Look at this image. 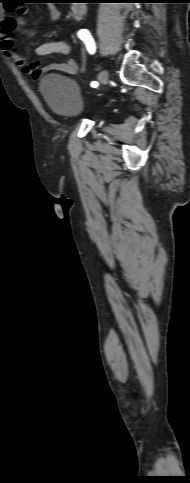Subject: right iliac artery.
Listing matches in <instances>:
<instances>
[{
	"label": "right iliac artery",
	"mask_w": 190,
	"mask_h": 483,
	"mask_svg": "<svg viewBox=\"0 0 190 483\" xmlns=\"http://www.w3.org/2000/svg\"><path fill=\"white\" fill-rule=\"evenodd\" d=\"M78 37L85 43L88 52L90 54H94L96 47H95L94 40L91 34L89 33V31L86 29L79 30ZM97 86H98V82L96 81L91 82V87L96 88Z\"/></svg>",
	"instance_id": "1"
}]
</instances>
